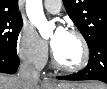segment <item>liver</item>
<instances>
[{"label": "liver", "instance_id": "obj_1", "mask_svg": "<svg viewBox=\"0 0 107 89\" xmlns=\"http://www.w3.org/2000/svg\"><path fill=\"white\" fill-rule=\"evenodd\" d=\"M80 85L82 89H106V85L103 83L93 82ZM0 89H40L38 82H31L29 85L24 83L17 76H9L6 74L0 75Z\"/></svg>", "mask_w": 107, "mask_h": 89}]
</instances>
